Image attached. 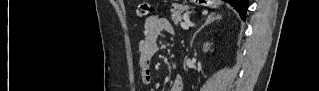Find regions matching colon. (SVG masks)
<instances>
[{
    "label": "colon",
    "mask_w": 319,
    "mask_h": 91,
    "mask_svg": "<svg viewBox=\"0 0 319 91\" xmlns=\"http://www.w3.org/2000/svg\"><path fill=\"white\" fill-rule=\"evenodd\" d=\"M150 12V4L148 2H140L137 6V15L139 17H147Z\"/></svg>",
    "instance_id": "obj_1"
}]
</instances>
